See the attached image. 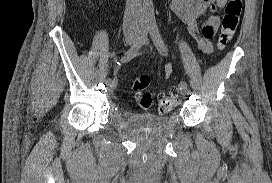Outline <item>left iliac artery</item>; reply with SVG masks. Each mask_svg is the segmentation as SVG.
Here are the masks:
<instances>
[{"mask_svg": "<svg viewBox=\"0 0 272 183\" xmlns=\"http://www.w3.org/2000/svg\"><path fill=\"white\" fill-rule=\"evenodd\" d=\"M149 32L157 50L160 52V54L167 56L168 55L167 47L155 23H151L149 25ZM179 87H180V90L185 89L187 88V83L185 81H181L179 84Z\"/></svg>", "mask_w": 272, "mask_h": 183, "instance_id": "obj_1", "label": "left iliac artery"}]
</instances>
